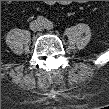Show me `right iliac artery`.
Wrapping results in <instances>:
<instances>
[{
  "label": "right iliac artery",
  "instance_id": "obj_1",
  "mask_svg": "<svg viewBox=\"0 0 109 109\" xmlns=\"http://www.w3.org/2000/svg\"><path fill=\"white\" fill-rule=\"evenodd\" d=\"M37 21L40 23V24H45L46 23V18L43 17V16H38L37 17Z\"/></svg>",
  "mask_w": 109,
  "mask_h": 109
}]
</instances>
